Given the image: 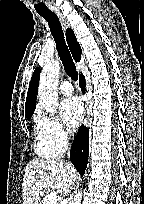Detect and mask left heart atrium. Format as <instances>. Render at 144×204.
<instances>
[{"instance_id":"obj_1","label":"left heart atrium","mask_w":144,"mask_h":204,"mask_svg":"<svg viewBox=\"0 0 144 204\" xmlns=\"http://www.w3.org/2000/svg\"><path fill=\"white\" fill-rule=\"evenodd\" d=\"M61 113L66 124L74 129L76 128L83 116V105L79 98L72 97L61 103Z\"/></svg>"}]
</instances>
